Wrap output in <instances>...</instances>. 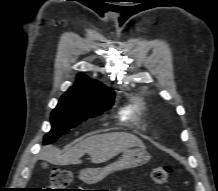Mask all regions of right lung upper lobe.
<instances>
[{
    "label": "right lung upper lobe",
    "mask_w": 218,
    "mask_h": 191,
    "mask_svg": "<svg viewBox=\"0 0 218 191\" xmlns=\"http://www.w3.org/2000/svg\"><path fill=\"white\" fill-rule=\"evenodd\" d=\"M78 82L71 87L65 94L72 97L91 98V99H109L114 97V92L106 88L101 83L90 80L85 75H78Z\"/></svg>",
    "instance_id": "1"
}]
</instances>
